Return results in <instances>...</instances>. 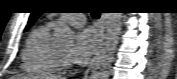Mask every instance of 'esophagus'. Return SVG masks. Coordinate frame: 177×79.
Returning a JSON list of instances; mask_svg holds the SVG:
<instances>
[{"label":"esophagus","mask_w":177,"mask_h":79,"mask_svg":"<svg viewBox=\"0 0 177 79\" xmlns=\"http://www.w3.org/2000/svg\"><path fill=\"white\" fill-rule=\"evenodd\" d=\"M98 29H99V34H100V42H99V47L98 50L96 51L94 57L92 58L88 68L86 69L84 73V79H93L96 68H97V62H98V57L100 55V52L103 47V42H104V16L101 14L99 20H98Z\"/></svg>","instance_id":"1"}]
</instances>
